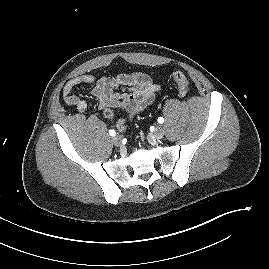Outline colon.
<instances>
[{
  "mask_svg": "<svg viewBox=\"0 0 269 269\" xmlns=\"http://www.w3.org/2000/svg\"><path fill=\"white\" fill-rule=\"evenodd\" d=\"M173 79L177 85L179 94L182 97L187 96L189 93L190 87H189V82H188L186 75L184 73L178 71V72L174 73Z\"/></svg>",
  "mask_w": 269,
  "mask_h": 269,
  "instance_id": "obj_1",
  "label": "colon"
}]
</instances>
